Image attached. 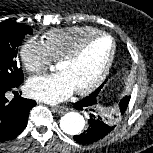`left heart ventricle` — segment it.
<instances>
[{"mask_svg": "<svg viewBox=\"0 0 153 153\" xmlns=\"http://www.w3.org/2000/svg\"><path fill=\"white\" fill-rule=\"evenodd\" d=\"M111 49L112 43L109 38H99L90 43L75 61L58 63L57 70L67 75L74 89L83 88L100 74Z\"/></svg>", "mask_w": 153, "mask_h": 153, "instance_id": "left-heart-ventricle-1", "label": "left heart ventricle"}]
</instances>
